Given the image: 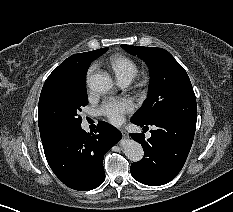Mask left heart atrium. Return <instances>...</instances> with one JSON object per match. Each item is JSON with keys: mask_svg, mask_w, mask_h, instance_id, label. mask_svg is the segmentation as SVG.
Masks as SVG:
<instances>
[{"mask_svg": "<svg viewBox=\"0 0 233 212\" xmlns=\"http://www.w3.org/2000/svg\"><path fill=\"white\" fill-rule=\"evenodd\" d=\"M133 110L131 101L127 99H109L101 106V113L106 116L112 123L119 124L123 116Z\"/></svg>", "mask_w": 233, "mask_h": 212, "instance_id": "obj_1", "label": "left heart atrium"}]
</instances>
